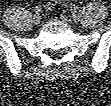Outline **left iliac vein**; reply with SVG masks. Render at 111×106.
Listing matches in <instances>:
<instances>
[{
  "mask_svg": "<svg viewBox=\"0 0 111 106\" xmlns=\"http://www.w3.org/2000/svg\"><path fill=\"white\" fill-rule=\"evenodd\" d=\"M72 18H73L74 20H77V19H78V16H77L76 14H72Z\"/></svg>",
  "mask_w": 111,
  "mask_h": 106,
  "instance_id": "left-iliac-vein-1",
  "label": "left iliac vein"
}]
</instances>
